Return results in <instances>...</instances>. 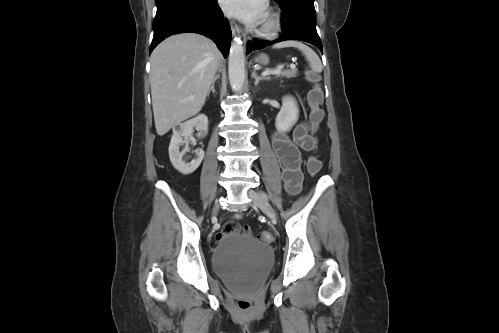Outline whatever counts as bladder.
Listing matches in <instances>:
<instances>
[{
	"instance_id": "obj_1",
	"label": "bladder",
	"mask_w": 499,
	"mask_h": 333,
	"mask_svg": "<svg viewBox=\"0 0 499 333\" xmlns=\"http://www.w3.org/2000/svg\"><path fill=\"white\" fill-rule=\"evenodd\" d=\"M273 263V248L249 234L226 235L212 252L215 273L238 290L256 286L267 276Z\"/></svg>"
}]
</instances>
